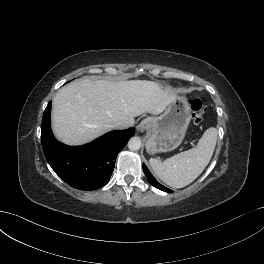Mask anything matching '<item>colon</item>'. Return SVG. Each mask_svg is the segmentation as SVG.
Here are the masks:
<instances>
[{
  "instance_id": "obj_1",
  "label": "colon",
  "mask_w": 264,
  "mask_h": 264,
  "mask_svg": "<svg viewBox=\"0 0 264 264\" xmlns=\"http://www.w3.org/2000/svg\"><path fill=\"white\" fill-rule=\"evenodd\" d=\"M190 107L192 110V122L194 124H199L202 120V116L206 111V105L200 99H193L190 102Z\"/></svg>"
}]
</instances>
